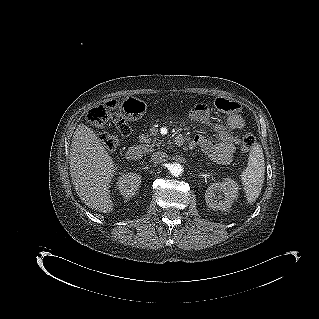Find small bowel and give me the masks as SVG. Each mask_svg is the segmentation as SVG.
I'll list each match as a JSON object with an SVG mask.
<instances>
[{
  "mask_svg": "<svg viewBox=\"0 0 319 319\" xmlns=\"http://www.w3.org/2000/svg\"><path fill=\"white\" fill-rule=\"evenodd\" d=\"M226 124L227 126L213 123L212 129L216 137L211 139L204 135L196 134L192 138L190 146H200L207 155L219 163L230 161L234 145L238 142V138L232 135L231 130L242 129L244 121L239 114L232 113L227 115Z\"/></svg>",
  "mask_w": 319,
  "mask_h": 319,
  "instance_id": "small-bowel-1",
  "label": "small bowel"
}]
</instances>
